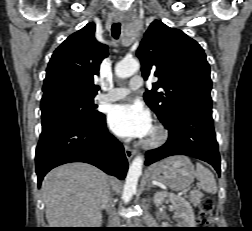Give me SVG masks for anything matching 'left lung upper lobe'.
<instances>
[{"label":"left lung upper lobe","instance_id":"obj_1","mask_svg":"<svg viewBox=\"0 0 252 231\" xmlns=\"http://www.w3.org/2000/svg\"><path fill=\"white\" fill-rule=\"evenodd\" d=\"M144 79L157 81L144 93L146 104L165 123L174 111L187 104L211 107L210 67L202 47L179 29L155 20L137 50ZM163 88V92H157Z\"/></svg>","mask_w":252,"mask_h":231}]
</instances>
